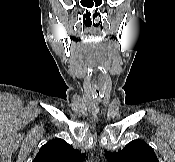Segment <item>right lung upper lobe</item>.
<instances>
[{"mask_svg":"<svg viewBox=\"0 0 175 162\" xmlns=\"http://www.w3.org/2000/svg\"><path fill=\"white\" fill-rule=\"evenodd\" d=\"M85 153L74 149L65 140L57 138L44 144L33 162H83Z\"/></svg>","mask_w":175,"mask_h":162,"instance_id":"right-lung-upper-lobe-1","label":"right lung upper lobe"}]
</instances>
